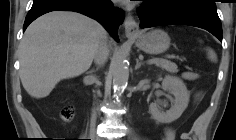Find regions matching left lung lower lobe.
Wrapping results in <instances>:
<instances>
[{
	"instance_id": "obj_1",
	"label": "left lung lower lobe",
	"mask_w": 236,
	"mask_h": 140,
	"mask_svg": "<svg viewBox=\"0 0 236 140\" xmlns=\"http://www.w3.org/2000/svg\"><path fill=\"white\" fill-rule=\"evenodd\" d=\"M138 15L141 28L189 25L203 28L222 41L221 22L213 6L188 1L149 0L138 10Z\"/></svg>"
}]
</instances>
